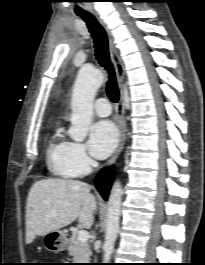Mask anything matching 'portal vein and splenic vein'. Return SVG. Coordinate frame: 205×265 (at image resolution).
Returning a JSON list of instances; mask_svg holds the SVG:
<instances>
[{"instance_id": "portal-vein-and-splenic-vein-1", "label": "portal vein and splenic vein", "mask_w": 205, "mask_h": 265, "mask_svg": "<svg viewBox=\"0 0 205 265\" xmlns=\"http://www.w3.org/2000/svg\"><path fill=\"white\" fill-rule=\"evenodd\" d=\"M89 238V233L85 230H79L77 239L81 242H87Z\"/></svg>"}]
</instances>
